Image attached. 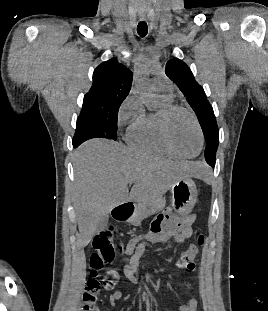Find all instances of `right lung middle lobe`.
<instances>
[{"label": "right lung middle lobe", "instance_id": "dd1d6c3e", "mask_svg": "<svg viewBox=\"0 0 268 311\" xmlns=\"http://www.w3.org/2000/svg\"><path fill=\"white\" fill-rule=\"evenodd\" d=\"M120 105L121 103L106 102L98 99H84L72 141L83 143L92 138L116 140Z\"/></svg>", "mask_w": 268, "mask_h": 311}]
</instances>
